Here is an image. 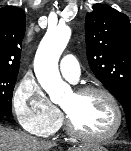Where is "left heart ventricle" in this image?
I'll return each mask as SVG.
<instances>
[{"mask_svg":"<svg viewBox=\"0 0 131 151\" xmlns=\"http://www.w3.org/2000/svg\"><path fill=\"white\" fill-rule=\"evenodd\" d=\"M76 127L88 134L104 135L116 122L115 111L109 100L99 93L79 96L70 93L62 103Z\"/></svg>","mask_w":131,"mask_h":151,"instance_id":"obj_1","label":"left heart ventricle"}]
</instances>
